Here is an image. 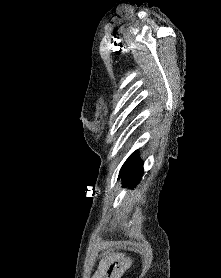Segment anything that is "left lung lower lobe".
Wrapping results in <instances>:
<instances>
[{
	"instance_id": "0a47b994",
	"label": "left lung lower lobe",
	"mask_w": 221,
	"mask_h": 278,
	"mask_svg": "<svg viewBox=\"0 0 221 278\" xmlns=\"http://www.w3.org/2000/svg\"><path fill=\"white\" fill-rule=\"evenodd\" d=\"M143 175V162L139 159L137 151L133 152L126 162L123 164L119 178L122 179L123 185H130L135 187Z\"/></svg>"
}]
</instances>
